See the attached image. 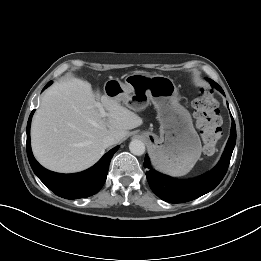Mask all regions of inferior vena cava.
I'll return each instance as SVG.
<instances>
[{
  "mask_svg": "<svg viewBox=\"0 0 261 261\" xmlns=\"http://www.w3.org/2000/svg\"><path fill=\"white\" fill-rule=\"evenodd\" d=\"M102 143H103V146H104L105 148H107V147H109V146L115 144V138H114L113 136H110V135L105 136V137L103 138V140H102Z\"/></svg>",
  "mask_w": 261,
  "mask_h": 261,
  "instance_id": "602c4592",
  "label": "inferior vena cava"
}]
</instances>
